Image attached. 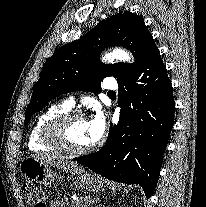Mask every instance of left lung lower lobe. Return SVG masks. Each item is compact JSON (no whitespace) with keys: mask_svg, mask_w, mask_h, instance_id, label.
<instances>
[{"mask_svg":"<svg viewBox=\"0 0 206 207\" xmlns=\"http://www.w3.org/2000/svg\"><path fill=\"white\" fill-rule=\"evenodd\" d=\"M118 85V124L111 125L98 152L77 162L113 181L139 184L149 198L157 185L175 107L172 84L156 45Z\"/></svg>","mask_w":206,"mask_h":207,"instance_id":"left-lung-lower-lobe-1","label":"left lung lower lobe"}]
</instances>
